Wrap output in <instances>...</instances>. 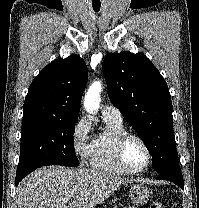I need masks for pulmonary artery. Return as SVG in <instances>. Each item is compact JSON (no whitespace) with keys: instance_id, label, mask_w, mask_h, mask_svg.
<instances>
[{"instance_id":"1","label":"pulmonary artery","mask_w":199,"mask_h":208,"mask_svg":"<svg viewBox=\"0 0 199 208\" xmlns=\"http://www.w3.org/2000/svg\"><path fill=\"white\" fill-rule=\"evenodd\" d=\"M102 117L109 118L118 122L123 121L122 113L118 108L111 104H105L102 108Z\"/></svg>"}]
</instances>
